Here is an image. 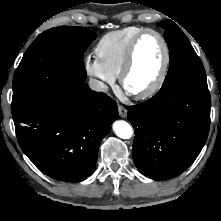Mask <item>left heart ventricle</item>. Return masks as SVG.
I'll return each mask as SVG.
<instances>
[{
  "label": "left heart ventricle",
  "instance_id": "obj_1",
  "mask_svg": "<svg viewBox=\"0 0 221 221\" xmlns=\"http://www.w3.org/2000/svg\"><path fill=\"white\" fill-rule=\"evenodd\" d=\"M164 58L160 40L152 34L144 36L136 49L133 67L126 79V88L139 93L149 88L156 80Z\"/></svg>",
  "mask_w": 221,
  "mask_h": 221
}]
</instances>
